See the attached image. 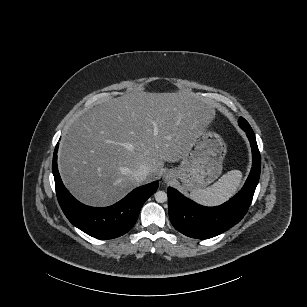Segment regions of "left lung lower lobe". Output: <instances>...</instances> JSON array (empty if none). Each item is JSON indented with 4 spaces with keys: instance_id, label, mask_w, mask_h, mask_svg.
Here are the masks:
<instances>
[{
    "instance_id": "left-lung-lower-lobe-1",
    "label": "left lung lower lobe",
    "mask_w": 307,
    "mask_h": 307,
    "mask_svg": "<svg viewBox=\"0 0 307 307\" xmlns=\"http://www.w3.org/2000/svg\"><path fill=\"white\" fill-rule=\"evenodd\" d=\"M252 148L253 164L243 188L232 199L217 207H204L187 199L172 187L168 188L169 218L182 234L207 239L237 224L246 214L260 177L261 157L252 128L243 125Z\"/></svg>"
}]
</instances>
